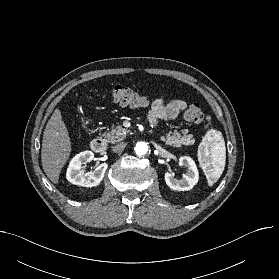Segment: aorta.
Wrapping results in <instances>:
<instances>
[{"label": "aorta", "instance_id": "762f6f07", "mask_svg": "<svg viewBox=\"0 0 279 279\" xmlns=\"http://www.w3.org/2000/svg\"><path fill=\"white\" fill-rule=\"evenodd\" d=\"M148 151V145L145 142H138L135 147V152L137 155H145Z\"/></svg>", "mask_w": 279, "mask_h": 279}]
</instances>
